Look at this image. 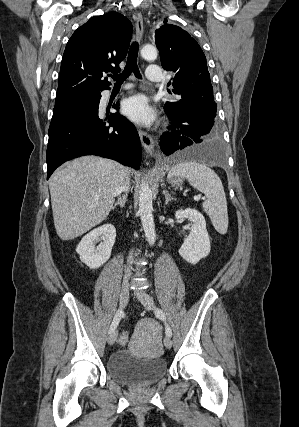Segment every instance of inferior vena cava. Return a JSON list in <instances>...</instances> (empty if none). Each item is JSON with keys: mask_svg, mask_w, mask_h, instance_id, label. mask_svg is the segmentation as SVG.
Listing matches in <instances>:
<instances>
[{"mask_svg": "<svg viewBox=\"0 0 299 427\" xmlns=\"http://www.w3.org/2000/svg\"><path fill=\"white\" fill-rule=\"evenodd\" d=\"M128 190H129V178H127V180L125 181V183L121 187L120 192L121 191L127 192ZM131 258H132V252L130 253V256H129V259H131ZM125 272L130 273V266L125 269Z\"/></svg>", "mask_w": 299, "mask_h": 427, "instance_id": "obj_1", "label": "inferior vena cava"}]
</instances>
